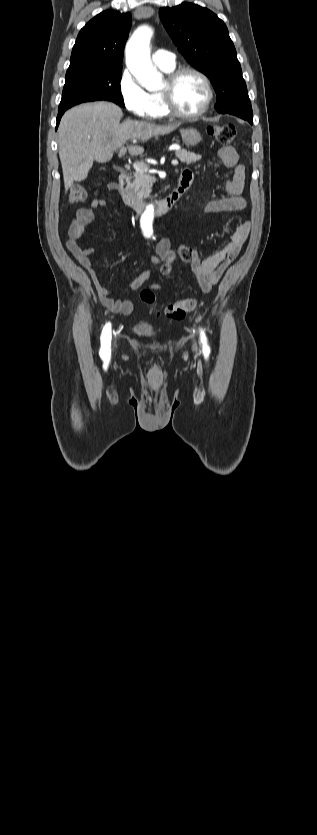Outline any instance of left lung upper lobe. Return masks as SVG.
<instances>
[{
	"instance_id": "1",
	"label": "left lung upper lobe",
	"mask_w": 317,
	"mask_h": 835,
	"mask_svg": "<svg viewBox=\"0 0 317 835\" xmlns=\"http://www.w3.org/2000/svg\"><path fill=\"white\" fill-rule=\"evenodd\" d=\"M160 18L180 53L211 80L216 110L252 116L241 66L224 22L193 3L163 7Z\"/></svg>"
}]
</instances>
